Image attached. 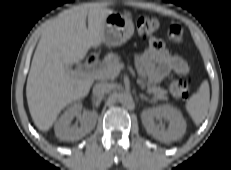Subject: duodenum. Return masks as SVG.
Wrapping results in <instances>:
<instances>
[{
    "mask_svg": "<svg viewBox=\"0 0 231 170\" xmlns=\"http://www.w3.org/2000/svg\"><path fill=\"white\" fill-rule=\"evenodd\" d=\"M99 62V59L94 56V55H91L89 57L86 58L85 60V64L88 66V67H94L98 64Z\"/></svg>",
    "mask_w": 231,
    "mask_h": 170,
    "instance_id": "obj_1",
    "label": "duodenum"
}]
</instances>
